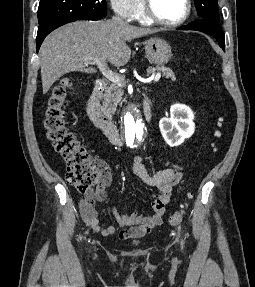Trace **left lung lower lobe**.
Here are the masks:
<instances>
[{"label":"left lung lower lobe","mask_w":255,"mask_h":287,"mask_svg":"<svg viewBox=\"0 0 255 287\" xmlns=\"http://www.w3.org/2000/svg\"><path fill=\"white\" fill-rule=\"evenodd\" d=\"M179 30H196L207 33L219 41L220 47L225 50L224 32L218 21L212 19H199L186 26L178 28Z\"/></svg>","instance_id":"1"}]
</instances>
